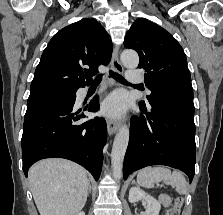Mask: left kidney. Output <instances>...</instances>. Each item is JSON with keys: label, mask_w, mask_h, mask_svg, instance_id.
<instances>
[{"label": "left kidney", "mask_w": 223, "mask_h": 215, "mask_svg": "<svg viewBox=\"0 0 223 215\" xmlns=\"http://www.w3.org/2000/svg\"><path fill=\"white\" fill-rule=\"evenodd\" d=\"M139 199H145L147 201L145 215H159L161 207L159 201L155 197H152V195L145 193L140 187H131L129 189V201L134 203V201H139Z\"/></svg>", "instance_id": "5707ae66"}]
</instances>
